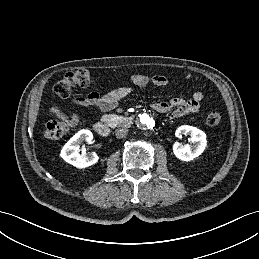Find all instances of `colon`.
<instances>
[{
  "label": "colon",
  "instance_id": "colon-1",
  "mask_svg": "<svg viewBox=\"0 0 259 259\" xmlns=\"http://www.w3.org/2000/svg\"><path fill=\"white\" fill-rule=\"evenodd\" d=\"M89 71L80 69L66 73L54 86L55 93L61 98L71 95L73 88L86 87L90 84ZM221 121V115L217 111H210L206 117L209 126H216ZM70 120H54L47 124L45 135L48 139L56 140L63 137L70 129Z\"/></svg>",
  "mask_w": 259,
  "mask_h": 259
}]
</instances>
